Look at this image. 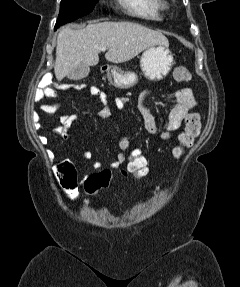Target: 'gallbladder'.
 Listing matches in <instances>:
<instances>
[{
  "mask_svg": "<svg viewBox=\"0 0 240 287\" xmlns=\"http://www.w3.org/2000/svg\"><path fill=\"white\" fill-rule=\"evenodd\" d=\"M89 72L90 67L84 63H80L67 74V78L70 80H81L87 77Z\"/></svg>",
  "mask_w": 240,
  "mask_h": 287,
  "instance_id": "gallbladder-1",
  "label": "gallbladder"
}]
</instances>
